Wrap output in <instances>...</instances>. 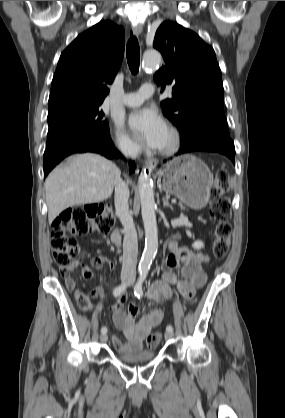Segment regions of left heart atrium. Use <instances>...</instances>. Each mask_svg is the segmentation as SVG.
Masks as SVG:
<instances>
[{
  "label": "left heart atrium",
  "mask_w": 285,
  "mask_h": 418,
  "mask_svg": "<svg viewBox=\"0 0 285 418\" xmlns=\"http://www.w3.org/2000/svg\"><path fill=\"white\" fill-rule=\"evenodd\" d=\"M128 125L134 134L151 146H160L167 133L165 120L154 108L132 111L128 117Z\"/></svg>",
  "instance_id": "left-heart-atrium-1"
}]
</instances>
